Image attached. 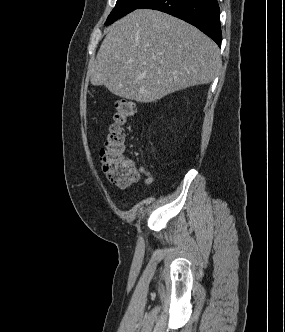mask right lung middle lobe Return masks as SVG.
Returning a JSON list of instances; mask_svg holds the SVG:
<instances>
[{"mask_svg": "<svg viewBox=\"0 0 285 332\" xmlns=\"http://www.w3.org/2000/svg\"><path fill=\"white\" fill-rule=\"evenodd\" d=\"M147 0H117L115 8L112 10L110 15L105 22L106 25H109L116 21L118 18L130 13L131 11L137 9Z\"/></svg>", "mask_w": 285, "mask_h": 332, "instance_id": "right-lung-middle-lobe-1", "label": "right lung middle lobe"}]
</instances>
